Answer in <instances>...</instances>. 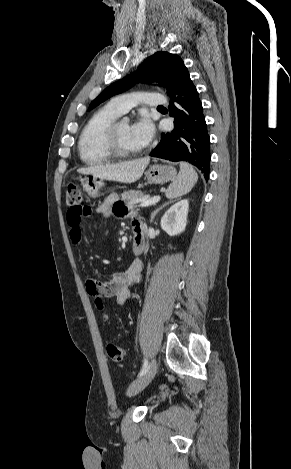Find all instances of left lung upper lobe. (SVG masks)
Masks as SVG:
<instances>
[{
    "mask_svg": "<svg viewBox=\"0 0 291 469\" xmlns=\"http://www.w3.org/2000/svg\"><path fill=\"white\" fill-rule=\"evenodd\" d=\"M185 72H187V68L178 55L162 51L157 52L147 58L137 72L108 86L91 102L89 108L92 109L111 96L127 90L136 81L160 82L168 89L167 93L170 94Z\"/></svg>",
    "mask_w": 291,
    "mask_h": 469,
    "instance_id": "5c2ea615",
    "label": "left lung upper lobe"
}]
</instances>
